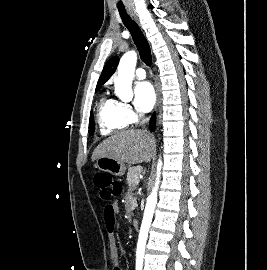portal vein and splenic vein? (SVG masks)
<instances>
[{"instance_id":"portal-vein-and-splenic-vein-1","label":"portal vein and splenic vein","mask_w":267,"mask_h":270,"mask_svg":"<svg viewBox=\"0 0 267 270\" xmlns=\"http://www.w3.org/2000/svg\"><path fill=\"white\" fill-rule=\"evenodd\" d=\"M138 182H139V178H136V179H135V183H138Z\"/></svg>"}]
</instances>
